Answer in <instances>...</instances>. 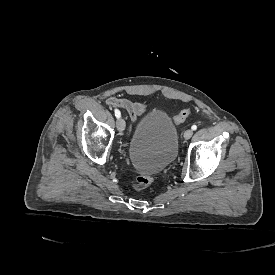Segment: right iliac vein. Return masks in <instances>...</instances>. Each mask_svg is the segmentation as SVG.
<instances>
[{"label":"right iliac vein","instance_id":"63e3f726","mask_svg":"<svg viewBox=\"0 0 275 275\" xmlns=\"http://www.w3.org/2000/svg\"><path fill=\"white\" fill-rule=\"evenodd\" d=\"M125 126V121L122 118L117 120V129L120 133H122L125 130Z\"/></svg>","mask_w":275,"mask_h":275}]
</instances>
